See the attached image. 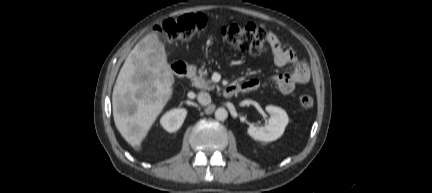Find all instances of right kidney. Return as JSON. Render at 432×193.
<instances>
[{"mask_svg":"<svg viewBox=\"0 0 432 193\" xmlns=\"http://www.w3.org/2000/svg\"><path fill=\"white\" fill-rule=\"evenodd\" d=\"M187 111L183 108H175L164 114L160 120L162 127L168 132L177 131L183 124Z\"/></svg>","mask_w":432,"mask_h":193,"instance_id":"right-kidney-1","label":"right kidney"}]
</instances>
